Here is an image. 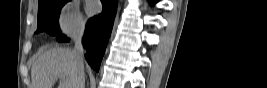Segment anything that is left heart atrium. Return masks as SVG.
<instances>
[{
    "label": "left heart atrium",
    "instance_id": "1",
    "mask_svg": "<svg viewBox=\"0 0 267 88\" xmlns=\"http://www.w3.org/2000/svg\"><path fill=\"white\" fill-rule=\"evenodd\" d=\"M87 10L90 14H95L99 11V5L96 2H90L87 6Z\"/></svg>",
    "mask_w": 267,
    "mask_h": 88
}]
</instances>
